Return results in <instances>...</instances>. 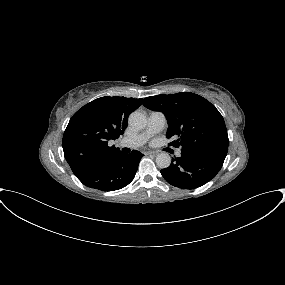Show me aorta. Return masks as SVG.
Masks as SVG:
<instances>
[{
  "mask_svg": "<svg viewBox=\"0 0 285 285\" xmlns=\"http://www.w3.org/2000/svg\"><path fill=\"white\" fill-rule=\"evenodd\" d=\"M128 124L136 130L144 129L147 125V118L144 113L134 111L128 118ZM156 164L160 168H167L171 164V157L167 153H160L156 157Z\"/></svg>",
  "mask_w": 285,
  "mask_h": 285,
  "instance_id": "1",
  "label": "aorta"
}]
</instances>
